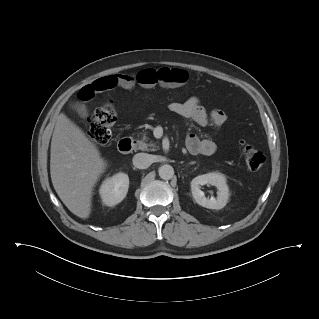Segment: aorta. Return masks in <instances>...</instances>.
<instances>
[{"label":"aorta","mask_w":319,"mask_h":319,"mask_svg":"<svg viewBox=\"0 0 319 319\" xmlns=\"http://www.w3.org/2000/svg\"><path fill=\"white\" fill-rule=\"evenodd\" d=\"M158 173L161 179L170 180L174 176V169L171 165L165 164L159 167Z\"/></svg>","instance_id":"aorta-1"}]
</instances>
